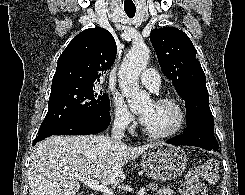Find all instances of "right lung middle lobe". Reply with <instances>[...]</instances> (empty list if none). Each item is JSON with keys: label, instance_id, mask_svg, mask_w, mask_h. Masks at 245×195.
<instances>
[{"label": "right lung middle lobe", "instance_id": "right-lung-middle-lobe-1", "mask_svg": "<svg viewBox=\"0 0 245 195\" xmlns=\"http://www.w3.org/2000/svg\"><path fill=\"white\" fill-rule=\"evenodd\" d=\"M100 110H110L109 97L95 86L72 87L51 92L48 112L39 132Z\"/></svg>", "mask_w": 245, "mask_h": 195}]
</instances>
